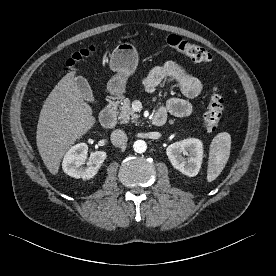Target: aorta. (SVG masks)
Returning <instances> with one entry per match:
<instances>
[{
    "label": "aorta",
    "mask_w": 276,
    "mask_h": 276,
    "mask_svg": "<svg viewBox=\"0 0 276 276\" xmlns=\"http://www.w3.org/2000/svg\"><path fill=\"white\" fill-rule=\"evenodd\" d=\"M133 149L136 153H144L147 149V144L143 140H136L133 144Z\"/></svg>",
    "instance_id": "1"
}]
</instances>
